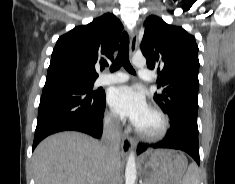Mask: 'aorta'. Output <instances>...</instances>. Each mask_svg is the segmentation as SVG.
<instances>
[{"label": "aorta", "instance_id": "aorta-1", "mask_svg": "<svg viewBox=\"0 0 235 184\" xmlns=\"http://www.w3.org/2000/svg\"><path fill=\"white\" fill-rule=\"evenodd\" d=\"M132 64L136 66V68H144L146 66V60L144 56H133ZM136 180V162H135V154L134 152H130L126 170H125V184H135Z\"/></svg>", "mask_w": 235, "mask_h": 184}]
</instances>
